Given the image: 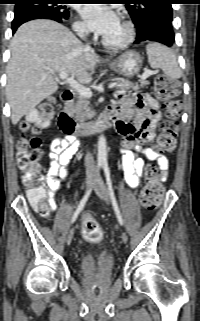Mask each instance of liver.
<instances>
[{"mask_svg":"<svg viewBox=\"0 0 200 321\" xmlns=\"http://www.w3.org/2000/svg\"><path fill=\"white\" fill-rule=\"evenodd\" d=\"M99 57L63 25L46 19L29 21L11 40L6 95L15 125L41 101L54 94L55 73L66 72L82 84L92 81Z\"/></svg>","mask_w":200,"mask_h":321,"instance_id":"6515ba94","label":"liver"}]
</instances>
